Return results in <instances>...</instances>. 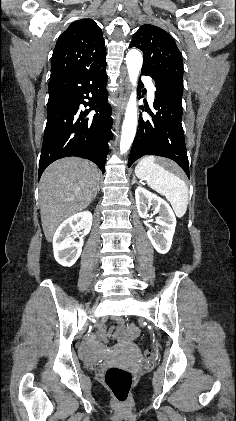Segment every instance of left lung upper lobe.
Instances as JSON below:
<instances>
[{"mask_svg":"<svg viewBox=\"0 0 236 421\" xmlns=\"http://www.w3.org/2000/svg\"><path fill=\"white\" fill-rule=\"evenodd\" d=\"M129 47L143 52L142 70L156 79L173 81L183 88V64L181 53L174 39L163 29L142 25L134 34Z\"/></svg>","mask_w":236,"mask_h":421,"instance_id":"left-lung-upper-lobe-1","label":"left lung upper lobe"}]
</instances>
